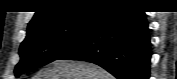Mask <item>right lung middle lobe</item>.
<instances>
[{"mask_svg": "<svg viewBox=\"0 0 177 79\" xmlns=\"http://www.w3.org/2000/svg\"><path fill=\"white\" fill-rule=\"evenodd\" d=\"M100 16L92 13L29 31L20 46L21 60L15 68V76L44 66L71 51L90 34Z\"/></svg>", "mask_w": 177, "mask_h": 79, "instance_id": "obj_1", "label": "right lung middle lobe"}]
</instances>
